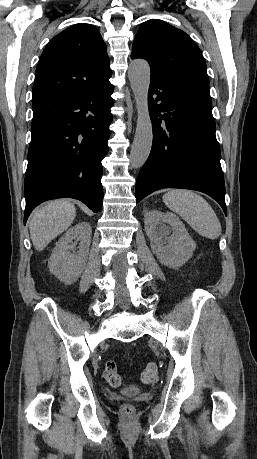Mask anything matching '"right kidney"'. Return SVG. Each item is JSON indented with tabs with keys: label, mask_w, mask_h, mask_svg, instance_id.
<instances>
[{
	"label": "right kidney",
	"mask_w": 257,
	"mask_h": 459,
	"mask_svg": "<svg viewBox=\"0 0 257 459\" xmlns=\"http://www.w3.org/2000/svg\"><path fill=\"white\" fill-rule=\"evenodd\" d=\"M91 226L88 222H80L70 228L56 243L49 260L50 272L65 284H72L82 274L91 242ZM79 241L75 252V242ZM72 249L73 253L69 250Z\"/></svg>",
	"instance_id": "right-kidney-1"
}]
</instances>
